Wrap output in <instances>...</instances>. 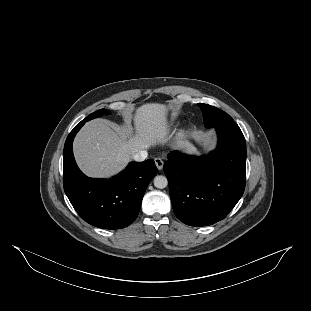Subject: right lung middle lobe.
Listing matches in <instances>:
<instances>
[{
    "label": "right lung middle lobe",
    "instance_id": "right-lung-middle-lobe-1",
    "mask_svg": "<svg viewBox=\"0 0 311 311\" xmlns=\"http://www.w3.org/2000/svg\"><path fill=\"white\" fill-rule=\"evenodd\" d=\"M104 114H110V112L105 110V109H100V110L90 114L89 116H87L83 121L87 122V121H89L91 119L97 118V117H99L101 115H104Z\"/></svg>",
    "mask_w": 311,
    "mask_h": 311
}]
</instances>
